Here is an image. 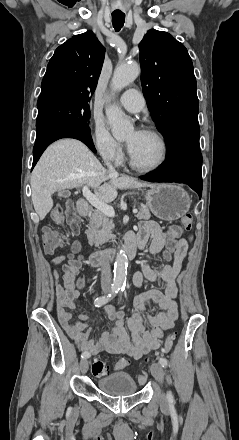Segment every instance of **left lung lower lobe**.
Here are the masks:
<instances>
[{
	"mask_svg": "<svg viewBox=\"0 0 239 440\" xmlns=\"http://www.w3.org/2000/svg\"><path fill=\"white\" fill-rule=\"evenodd\" d=\"M199 136L198 124L184 125L171 131L165 139L167 155L164 164L156 172L140 178L150 182L185 183L201 198L203 182Z\"/></svg>",
	"mask_w": 239,
	"mask_h": 440,
	"instance_id": "obj_1",
	"label": "left lung lower lobe"
}]
</instances>
